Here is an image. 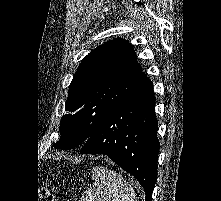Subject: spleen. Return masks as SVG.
<instances>
[{"instance_id": "obj_1", "label": "spleen", "mask_w": 221, "mask_h": 201, "mask_svg": "<svg viewBox=\"0 0 221 201\" xmlns=\"http://www.w3.org/2000/svg\"><path fill=\"white\" fill-rule=\"evenodd\" d=\"M92 179L93 185L84 191L80 201H136L132 186L111 169L94 167Z\"/></svg>"}]
</instances>
